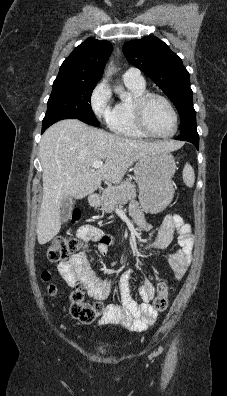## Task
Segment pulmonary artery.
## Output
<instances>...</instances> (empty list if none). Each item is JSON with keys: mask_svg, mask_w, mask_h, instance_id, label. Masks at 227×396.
Masks as SVG:
<instances>
[{"mask_svg": "<svg viewBox=\"0 0 227 396\" xmlns=\"http://www.w3.org/2000/svg\"><path fill=\"white\" fill-rule=\"evenodd\" d=\"M123 80L137 82V83H144V78L141 75V72L137 68H134V67L127 69L123 73Z\"/></svg>", "mask_w": 227, "mask_h": 396, "instance_id": "pulmonary-artery-1", "label": "pulmonary artery"}]
</instances>
